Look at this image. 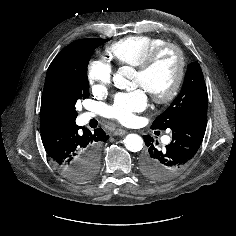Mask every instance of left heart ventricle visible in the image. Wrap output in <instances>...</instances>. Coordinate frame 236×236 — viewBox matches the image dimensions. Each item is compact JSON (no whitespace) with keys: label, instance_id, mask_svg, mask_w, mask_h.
I'll return each instance as SVG.
<instances>
[{"label":"left heart ventricle","instance_id":"b2bd125f","mask_svg":"<svg viewBox=\"0 0 236 236\" xmlns=\"http://www.w3.org/2000/svg\"><path fill=\"white\" fill-rule=\"evenodd\" d=\"M178 68V58L174 51L164 52L154 68L146 75L135 74V84L149 93L163 94L167 92L175 79Z\"/></svg>","mask_w":236,"mask_h":236}]
</instances>
